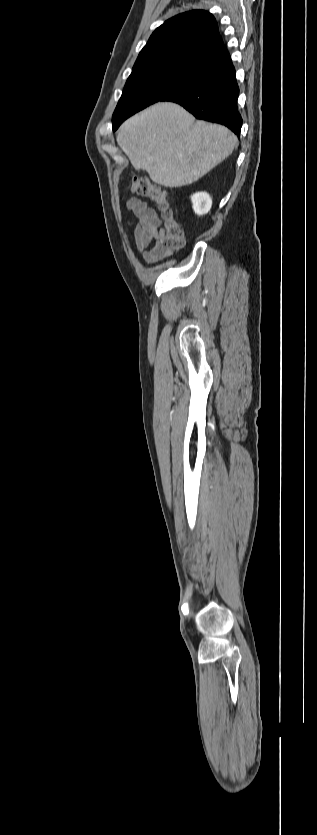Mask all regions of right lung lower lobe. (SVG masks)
Returning a JSON list of instances; mask_svg holds the SVG:
<instances>
[{
    "label": "right lung lower lobe",
    "mask_w": 317,
    "mask_h": 835,
    "mask_svg": "<svg viewBox=\"0 0 317 835\" xmlns=\"http://www.w3.org/2000/svg\"><path fill=\"white\" fill-rule=\"evenodd\" d=\"M190 59L206 75V79L171 94L163 101L178 103L197 119L224 125L239 135L242 126V118L237 111L239 88L227 49L223 46Z\"/></svg>",
    "instance_id": "right-lung-lower-lobe-1"
}]
</instances>
